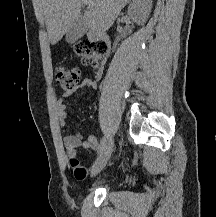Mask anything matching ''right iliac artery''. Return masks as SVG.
I'll list each match as a JSON object with an SVG mask.
<instances>
[{
	"label": "right iliac artery",
	"instance_id": "obj_1",
	"mask_svg": "<svg viewBox=\"0 0 216 217\" xmlns=\"http://www.w3.org/2000/svg\"><path fill=\"white\" fill-rule=\"evenodd\" d=\"M105 147H106V139L103 138L100 142L99 150L97 151V153L101 154Z\"/></svg>",
	"mask_w": 216,
	"mask_h": 217
}]
</instances>
